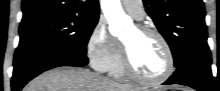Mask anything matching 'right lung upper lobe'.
<instances>
[{
    "label": "right lung upper lobe",
    "mask_w": 220,
    "mask_h": 91,
    "mask_svg": "<svg viewBox=\"0 0 220 91\" xmlns=\"http://www.w3.org/2000/svg\"><path fill=\"white\" fill-rule=\"evenodd\" d=\"M22 11L21 23L61 14L99 17V4L97 0H23Z\"/></svg>",
    "instance_id": "right-lung-upper-lobe-1"
}]
</instances>
